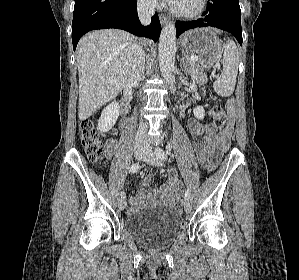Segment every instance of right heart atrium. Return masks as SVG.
<instances>
[{"label": "right heart atrium", "instance_id": "right-heart-atrium-1", "mask_svg": "<svg viewBox=\"0 0 299 280\" xmlns=\"http://www.w3.org/2000/svg\"><path fill=\"white\" fill-rule=\"evenodd\" d=\"M140 4L145 7H154L156 5V0H139Z\"/></svg>", "mask_w": 299, "mask_h": 280}]
</instances>
